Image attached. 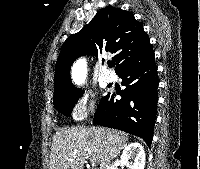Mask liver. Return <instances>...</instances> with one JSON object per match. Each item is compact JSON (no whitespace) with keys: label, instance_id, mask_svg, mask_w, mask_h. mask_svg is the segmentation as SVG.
Segmentation results:
<instances>
[{"label":"liver","instance_id":"liver-1","mask_svg":"<svg viewBox=\"0 0 200 169\" xmlns=\"http://www.w3.org/2000/svg\"><path fill=\"white\" fill-rule=\"evenodd\" d=\"M128 135L102 127L61 129L53 136L50 169H83L86 158L100 169L126 147Z\"/></svg>","mask_w":200,"mask_h":169}]
</instances>
